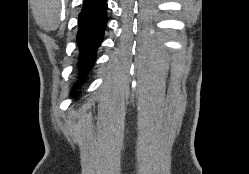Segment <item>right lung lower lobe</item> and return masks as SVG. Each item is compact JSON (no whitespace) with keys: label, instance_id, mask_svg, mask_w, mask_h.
I'll return each instance as SVG.
<instances>
[{"label":"right lung lower lobe","instance_id":"right-lung-lower-lobe-1","mask_svg":"<svg viewBox=\"0 0 249 174\" xmlns=\"http://www.w3.org/2000/svg\"><path fill=\"white\" fill-rule=\"evenodd\" d=\"M106 0L84 3L78 19L77 42L80 48L79 65L82 70L92 67L96 49L103 40L107 24Z\"/></svg>","mask_w":249,"mask_h":174}]
</instances>
